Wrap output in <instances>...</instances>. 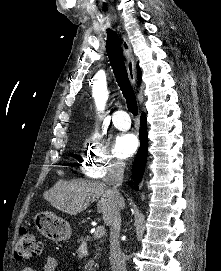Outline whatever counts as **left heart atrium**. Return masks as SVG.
Here are the masks:
<instances>
[{"mask_svg": "<svg viewBox=\"0 0 221 271\" xmlns=\"http://www.w3.org/2000/svg\"><path fill=\"white\" fill-rule=\"evenodd\" d=\"M170 94H177V92H170ZM137 141L138 138L135 133L119 135L117 138V145H115L116 153H122L126 155L133 154L137 147Z\"/></svg>", "mask_w": 221, "mask_h": 271, "instance_id": "obj_1", "label": "left heart atrium"}]
</instances>
